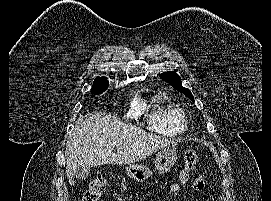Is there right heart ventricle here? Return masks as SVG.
I'll use <instances>...</instances> for the list:
<instances>
[{"instance_id": "1", "label": "right heart ventricle", "mask_w": 271, "mask_h": 201, "mask_svg": "<svg viewBox=\"0 0 271 201\" xmlns=\"http://www.w3.org/2000/svg\"><path fill=\"white\" fill-rule=\"evenodd\" d=\"M148 123L151 131L167 136L178 135L187 128L185 113L163 96L154 98Z\"/></svg>"}]
</instances>
